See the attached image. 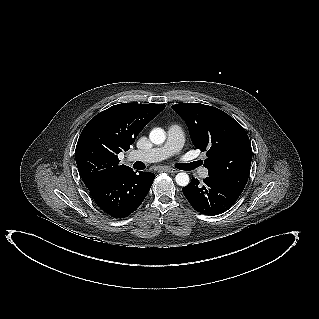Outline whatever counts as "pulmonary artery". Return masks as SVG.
Instances as JSON below:
<instances>
[{
    "instance_id": "e3ab8cb5",
    "label": "pulmonary artery",
    "mask_w": 319,
    "mask_h": 319,
    "mask_svg": "<svg viewBox=\"0 0 319 319\" xmlns=\"http://www.w3.org/2000/svg\"><path fill=\"white\" fill-rule=\"evenodd\" d=\"M183 144L184 136L182 128L174 124L168 129L167 140L164 145L150 150H138L135 151L133 155L144 162H156L177 154L181 151ZM208 175V169L201 168L200 176L206 178Z\"/></svg>"
}]
</instances>
